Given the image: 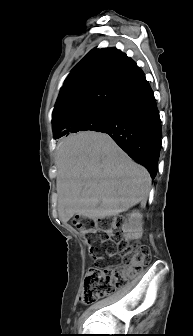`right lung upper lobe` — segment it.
<instances>
[{
    "label": "right lung upper lobe",
    "instance_id": "right-lung-upper-lobe-1",
    "mask_svg": "<svg viewBox=\"0 0 193 336\" xmlns=\"http://www.w3.org/2000/svg\"><path fill=\"white\" fill-rule=\"evenodd\" d=\"M116 48L91 50L66 78L53 111L55 138L76 133L74 121L90 112L111 108L139 71Z\"/></svg>",
    "mask_w": 193,
    "mask_h": 336
}]
</instances>
